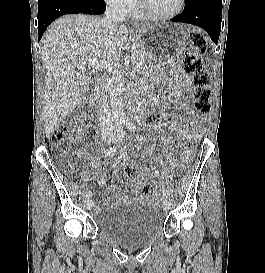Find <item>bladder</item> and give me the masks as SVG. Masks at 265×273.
I'll return each mask as SVG.
<instances>
[{
  "label": "bladder",
  "instance_id": "bladder-1",
  "mask_svg": "<svg viewBox=\"0 0 265 273\" xmlns=\"http://www.w3.org/2000/svg\"><path fill=\"white\" fill-rule=\"evenodd\" d=\"M164 216L150 203L127 204L102 216L98 229L110 241L125 248H137L158 238L164 228Z\"/></svg>",
  "mask_w": 265,
  "mask_h": 273
}]
</instances>
